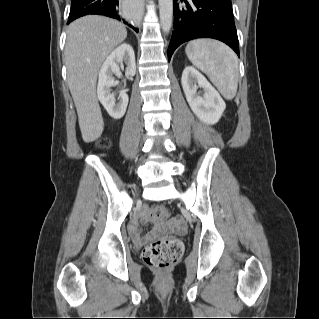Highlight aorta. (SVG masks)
Wrapping results in <instances>:
<instances>
[{"mask_svg": "<svg viewBox=\"0 0 319 319\" xmlns=\"http://www.w3.org/2000/svg\"><path fill=\"white\" fill-rule=\"evenodd\" d=\"M159 15L163 32L169 33L173 20V0H159Z\"/></svg>", "mask_w": 319, "mask_h": 319, "instance_id": "aorta-1", "label": "aorta"}]
</instances>
